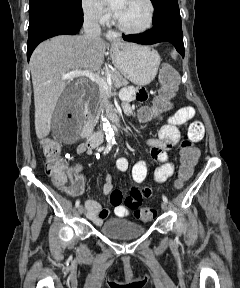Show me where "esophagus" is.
<instances>
[{
  "label": "esophagus",
  "instance_id": "1",
  "mask_svg": "<svg viewBox=\"0 0 240 288\" xmlns=\"http://www.w3.org/2000/svg\"><path fill=\"white\" fill-rule=\"evenodd\" d=\"M106 37L110 41H116L118 40V34L114 31H108L106 34Z\"/></svg>",
  "mask_w": 240,
  "mask_h": 288
}]
</instances>
